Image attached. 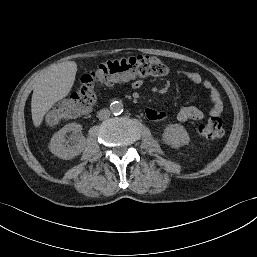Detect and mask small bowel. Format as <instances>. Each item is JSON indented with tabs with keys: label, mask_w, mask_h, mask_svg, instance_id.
<instances>
[{
	"label": "small bowel",
	"mask_w": 257,
	"mask_h": 257,
	"mask_svg": "<svg viewBox=\"0 0 257 257\" xmlns=\"http://www.w3.org/2000/svg\"><path fill=\"white\" fill-rule=\"evenodd\" d=\"M172 73L186 78L188 81L195 85L202 86L209 93L211 101V108L209 114L211 116H219L223 112V101L217 87L208 79L203 78L199 73L195 71H188L184 69L173 70ZM142 82L137 80L133 82L134 88H139ZM146 117L151 121H162L166 118V113L154 108H148L145 111ZM204 111L196 106H184L177 112V119L179 121H198L205 117Z\"/></svg>",
	"instance_id": "1"
}]
</instances>
